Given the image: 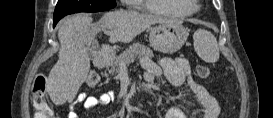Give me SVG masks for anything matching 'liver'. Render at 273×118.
<instances>
[{
    "instance_id": "6515ba94",
    "label": "liver",
    "mask_w": 273,
    "mask_h": 118,
    "mask_svg": "<svg viewBox=\"0 0 273 118\" xmlns=\"http://www.w3.org/2000/svg\"><path fill=\"white\" fill-rule=\"evenodd\" d=\"M157 23L180 22L132 10L106 13L96 23L88 15L64 19L58 30V61L46 83L53 103L62 105L67 101L72 102L76 97L90 69L89 46L99 32L108 30L111 43H130L149 26Z\"/></svg>"
}]
</instances>
